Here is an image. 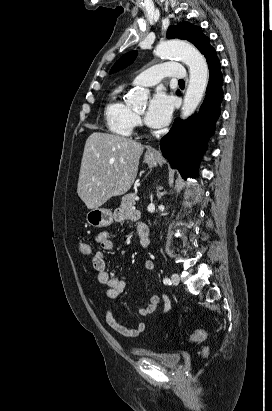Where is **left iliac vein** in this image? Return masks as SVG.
<instances>
[{"label":"left iliac vein","mask_w":272,"mask_h":411,"mask_svg":"<svg viewBox=\"0 0 272 411\" xmlns=\"http://www.w3.org/2000/svg\"><path fill=\"white\" fill-rule=\"evenodd\" d=\"M171 280H172V284L178 285L180 281L179 275L176 273L172 274Z\"/></svg>","instance_id":"1"}]
</instances>
